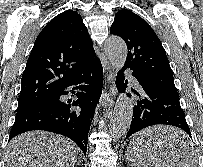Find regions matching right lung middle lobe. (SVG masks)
I'll return each instance as SVG.
<instances>
[{"label":"right lung middle lobe","mask_w":203,"mask_h":167,"mask_svg":"<svg viewBox=\"0 0 203 167\" xmlns=\"http://www.w3.org/2000/svg\"><path fill=\"white\" fill-rule=\"evenodd\" d=\"M48 101H50V99H47V100L38 102V103L33 104V105H30V106H18L17 112H18V111H21V110H23V109H26V108H28V107H31V106H34V105H38V104H42V103H45V102H48Z\"/></svg>","instance_id":"obj_1"}]
</instances>
